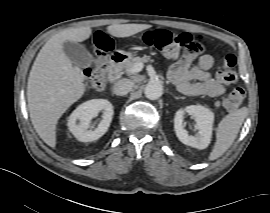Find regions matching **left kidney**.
<instances>
[{"label":"left kidney","mask_w":270,"mask_h":213,"mask_svg":"<svg viewBox=\"0 0 270 213\" xmlns=\"http://www.w3.org/2000/svg\"><path fill=\"white\" fill-rule=\"evenodd\" d=\"M185 113L191 115L196 122L198 133L195 136L189 135L184 128L183 117ZM213 122L214 114L210 109L202 105H190L176 112L174 130L176 136L183 144L202 150L210 144Z\"/></svg>","instance_id":"obj_1"}]
</instances>
